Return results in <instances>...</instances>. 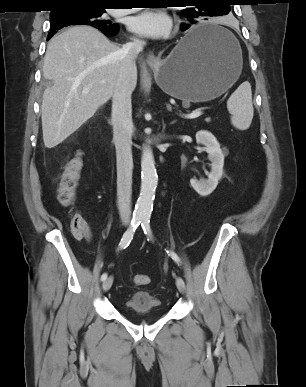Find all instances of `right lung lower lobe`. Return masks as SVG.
Returning <instances> with one entry per match:
<instances>
[{
	"instance_id": "1",
	"label": "right lung lower lobe",
	"mask_w": 306,
	"mask_h": 387,
	"mask_svg": "<svg viewBox=\"0 0 306 387\" xmlns=\"http://www.w3.org/2000/svg\"><path fill=\"white\" fill-rule=\"evenodd\" d=\"M101 30L106 36H115L119 32V26L117 27H112V28H101ZM57 31H52L49 33L47 39L49 40Z\"/></svg>"
}]
</instances>
